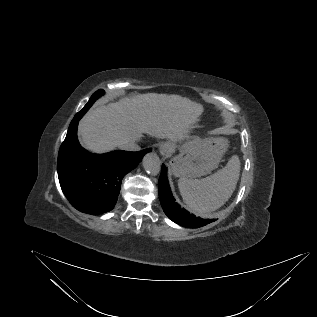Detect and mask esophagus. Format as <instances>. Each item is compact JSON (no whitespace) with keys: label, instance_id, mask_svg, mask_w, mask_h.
Wrapping results in <instances>:
<instances>
[{"label":"esophagus","instance_id":"obj_1","mask_svg":"<svg viewBox=\"0 0 317 317\" xmlns=\"http://www.w3.org/2000/svg\"><path fill=\"white\" fill-rule=\"evenodd\" d=\"M173 148L170 144L168 143H164L162 145L159 146V154L162 156V157H165V156H168V154H170L172 152Z\"/></svg>","mask_w":317,"mask_h":317}]
</instances>
